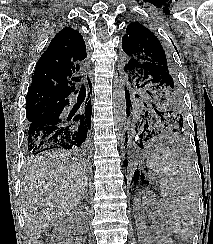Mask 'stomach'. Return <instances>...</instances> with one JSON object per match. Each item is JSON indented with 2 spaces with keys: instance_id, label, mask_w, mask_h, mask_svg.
I'll return each mask as SVG.
<instances>
[{
  "instance_id": "stomach-1",
  "label": "stomach",
  "mask_w": 213,
  "mask_h": 244,
  "mask_svg": "<svg viewBox=\"0 0 213 244\" xmlns=\"http://www.w3.org/2000/svg\"><path fill=\"white\" fill-rule=\"evenodd\" d=\"M155 175H156V173L150 169L149 174H148L149 179L152 180Z\"/></svg>"
}]
</instances>
